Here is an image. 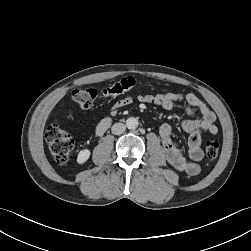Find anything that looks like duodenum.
<instances>
[{
	"mask_svg": "<svg viewBox=\"0 0 251 251\" xmlns=\"http://www.w3.org/2000/svg\"><path fill=\"white\" fill-rule=\"evenodd\" d=\"M110 124H111L110 118L103 119L97 126V134L99 135L103 134L108 129Z\"/></svg>",
	"mask_w": 251,
	"mask_h": 251,
	"instance_id": "410a0bca",
	"label": "duodenum"
}]
</instances>
